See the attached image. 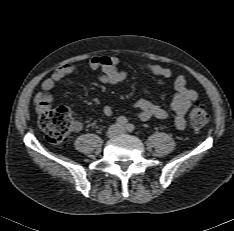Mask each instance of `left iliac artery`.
<instances>
[{"instance_id": "obj_1", "label": "left iliac artery", "mask_w": 234, "mask_h": 231, "mask_svg": "<svg viewBox=\"0 0 234 231\" xmlns=\"http://www.w3.org/2000/svg\"><path fill=\"white\" fill-rule=\"evenodd\" d=\"M125 128H126V130H127L128 132H132V131H134V129H135V127H134L133 124H127V125L125 126Z\"/></svg>"}]
</instances>
